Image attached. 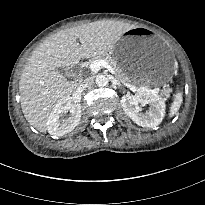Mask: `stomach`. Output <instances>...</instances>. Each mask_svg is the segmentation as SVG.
<instances>
[{
	"label": "stomach",
	"mask_w": 205,
	"mask_h": 205,
	"mask_svg": "<svg viewBox=\"0 0 205 205\" xmlns=\"http://www.w3.org/2000/svg\"><path fill=\"white\" fill-rule=\"evenodd\" d=\"M111 54L124 76L137 85L164 83L175 67V58L167 43L146 27L127 30Z\"/></svg>",
	"instance_id": "obj_1"
}]
</instances>
